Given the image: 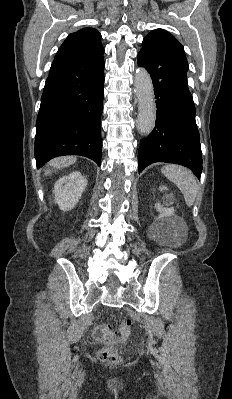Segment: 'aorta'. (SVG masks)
<instances>
[{"label": "aorta", "instance_id": "aorta-1", "mask_svg": "<svg viewBox=\"0 0 232 399\" xmlns=\"http://www.w3.org/2000/svg\"><path fill=\"white\" fill-rule=\"evenodd\" d=\"M134 84L139 105L137 129L142 135H148L155 126L156 106L153 83L146 69L136 70Z\"/></svg>", "mask_w": 232, "mask_h": 399}]
</instances>
